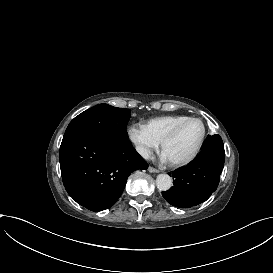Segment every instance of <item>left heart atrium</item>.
<instances>
[{"instance_id":"1","label":"left heart atrium","mask_w":273,"mask_h":273,"mask_svg":"<svg viewBox=\"0 0 273 273\" xmlns=\"http://www.w3.org/2000/svg\"><path fill=\"white\" fill-rule=\"evenodd\" d=\"M162 158H163V160L168 161V159H167V157H166V155L164 153L162 155Z\"/></svg>"}]
</instances>
